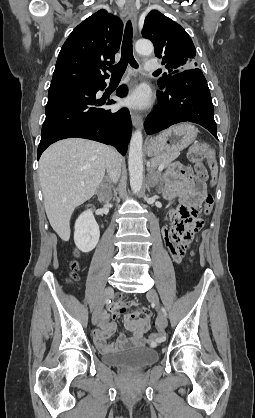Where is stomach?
I'll return each instance as SVG.
<instances>
[{"label":"stomach","mask_w":255,"mask_h":418,"mask_svg":"<svg viewBox=\"0 0 255 418\" xmlns=\"http://www.w3.org/2000/svg\"><path fill=\"white\" fill-rule=\"evenodd\" d=\"M197 128L189 123H182L170 127L146 144L149 156L179 153L188 147L197 137Z\"/></svg>","instance_id":"0dacf381"}]
</instances>
